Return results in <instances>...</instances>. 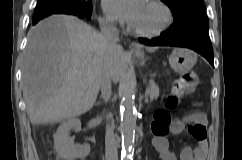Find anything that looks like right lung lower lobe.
Instances as JSON below:
<instances>
[{
	"label": "right lung lower lobe",
	"mask_w": 242,
	"mask_h": 160,
	"mask_svg": "<svg viewBox=\"0 0 242 160\" xmlns=\"http://www.w3.org/2000/svg\"><path fill=\"white\" fill-rule=\"evenodd\" d=\"M52 15V14H51ZM68 15H73L76 16L78 18L81 19H90L91 18V13L90 14H86V15H79V14H68ZM44 18V17H43ZM42 18H38V19H33L32 20V24L35 25L38 21H40Z\"/></svg>",
	"instance_id": "1"
}]
</instances>
